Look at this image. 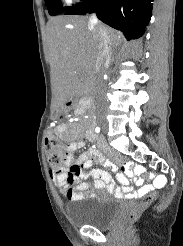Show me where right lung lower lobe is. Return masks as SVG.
I'll return each instance as SVG.
<instances>
[{
  "instance_id": "right-lung-lower-lobe-1",
  "label": "right lung lower lobe",
  "mask_w": 183,
  "mask_h": 246,
  "mask_svg": "<svg viewBox=\"0 0 183 246\" xmlns=\"http://www.w3.org/2000/svg\"><path fill=\"white\" fill-rule=\"evenodd\" d=\"M154 0H83L65 14L85 15L96 12L109 26L123 32L127 40L137 39L145 32L152 15Z\"/></svg>"
}]
</instances>
